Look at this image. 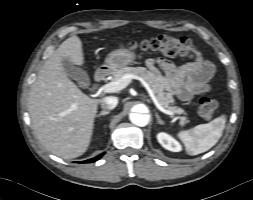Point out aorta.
Masks as SVG:
<instances>
[{"mask_svg":"<svg viewBox=\"0 0 253 200\" xmlns=\"http://www.w3.org/2000/svg\"><path fill=\"white\" fill-rule=\"evenodd\" d=\"M130 121L140 127H144L149 123V116L145 113H131Z\"/></svg>","mask_w":253,"mask_h":200,"instance_id":"aorta-1","label":"aorta"}]
</instances>
